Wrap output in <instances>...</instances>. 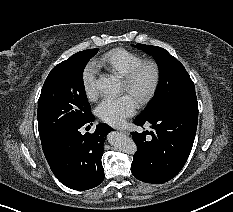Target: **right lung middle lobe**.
<instances>
[{
  "label": "right lung middle lobe",
  "instance_id": "dd1d6c3e",
  "mask_svg": "<svg viewBox=\"0 0 233 212\" xmlns=\"http://www.w3.org/2000/svg\"><path fill=\"white\" fill-rule=\"evenodd\" d=\"M98 49L84 50L56 65L46 78L38 101V128L41 141L90 115L83 71Z\"/></svg>",
  "mask_w": 233,
  "mask_h": 212
}]
</instances>
